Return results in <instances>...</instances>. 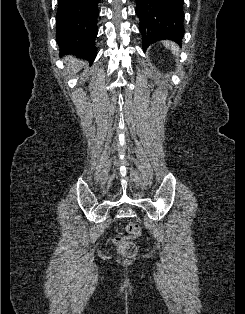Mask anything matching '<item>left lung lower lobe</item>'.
Here are the masks:
<instances>
[{"label": "left lung lower lobe", "mask_w": 245, "mask_h": 314, "mask_svg": "<svg viewBox=\"0 0 245 314\" xmlns=\"http://www.w3.org/2000/svg\"><path fill=\"white\" fill-rule=\"evenodd\" d=\"M183 0H136L143 50L163 39L180 42L184 34Z\"/></svg>", "instance_id": "left-lung-lower-lobe-1"}]
</instances>
